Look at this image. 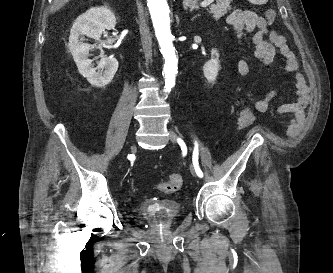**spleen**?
Listing matches in <instances>:
<instances>
[{"instance_id":"spleen-1","label":"spleen","mask_w":333,"mask_h":273,"mask_svg":"<svg viewBox=\"0 0 333 273\" xmlns=\"http://www.w3.org/2000/svg\"><path fill=\"white\" fill-rule=\"evenodd\" d=\"M249 2L253 3V4H265L266 2H268V0H248Z\"/></svg>"}]
</instances>
